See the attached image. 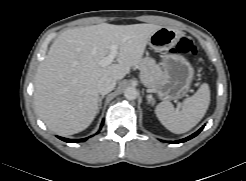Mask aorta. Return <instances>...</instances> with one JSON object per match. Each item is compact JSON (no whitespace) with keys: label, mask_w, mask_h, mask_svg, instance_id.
Masks as SVG:
<instances>
[{"label":"aorta","mask_w":246,"mask_h":181,"mask_svg":"<svg viewBox=\"0 0 246 181\" xmlns=\"http://www.w3.org/2000/svg\"><path fill=\"white\" fill-rule=\"evenodd\" d=\"M124 96L127 100H135L138 96V91L135 87H127L124 90Z\"/></svg>","instance_id":"1"}]
</instances>
